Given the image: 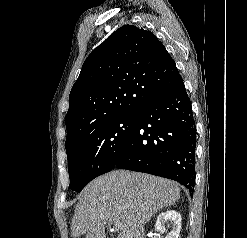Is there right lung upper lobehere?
Here are the masks:
<instances>
[{"instance_id":"1","label":"right lung upper lobe","mask_w":247,"mask_h":238,"mask_svg":"<svg viewBox=\"0 0 247 238\" xmlns=\"http://www.w3.org/2000/svg\"><path fill=\"white\" fill-rule=\"evenodd\" d=\"M179 76L157 37L143 28L122 26L88 56L72 87L65 146L97 124L138 113Z\"/></svg>"}]
</instances>
